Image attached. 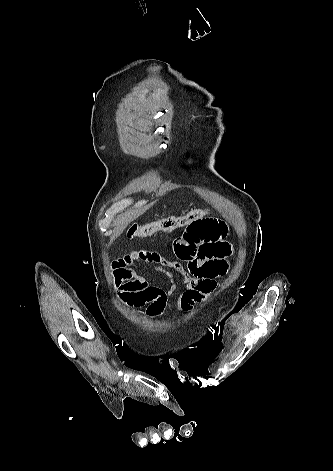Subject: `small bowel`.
<instances>
[{
  "label": "small bowel",
  "instance_id": "c3829d8e",
  "mask_svg": "<svg viewBox=\"0 0 333 471\" xmlns=\"http://www.w3.org/2000/svg\"><path fill=\"white\" fill-rule=\"evenodd\" d=\"M227 234L228 226L223 220L204 216L188 225L175 239L174 251L180 261L150 250L124 255L112 264L117 297L122 303L141 309L142 316L155 320L163 314L176 290L177 275L185 286L177 299V308L191 312L197 303L211 297L219 285L217 279L228 271L232 246L226 240ZM139 264L167 277L169 286L150 284Z\"/></svg>",
  "mask_w": 333,
  "mask_h": 471
}]
</instances>
